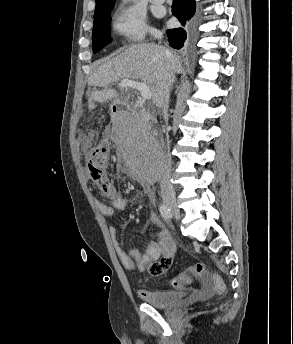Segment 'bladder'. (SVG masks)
Segmentation results:
<instances>
[{"label":"bladder","instance_id":"31cf9c89","mask_svg":"<svg viewBox=\"0 0 293 344\" xmlns=\"http://www.w3.org/2000/svg\"><path fill=\"white\" fill-rule=\"evenodd\" d=\"M143 298L148 303L158 308H166L185 298V293L172 289L144 290Z\"/></svg>","mask_w":293,"mask_h":344}]
</instances>
